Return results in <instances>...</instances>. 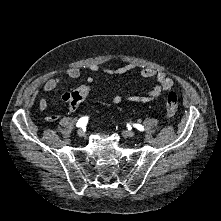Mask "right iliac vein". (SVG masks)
<instances>
[{
  "instance_id": "63e3f726",
  "label": "right iliac vein",
  "mask_w": 221,
  "mask_h": 221,
  "mask_svg": "<svg viewBox=\"0 0 221 221\" xmlns=\"http://www.w3.org/2000/svg\"><path fill=\"white\" fill-rule=\"evenodd\" d=\"M77 134H78V136L81 137V138L85 137V132H84V130H82V129H79L78 132H77Z\"/></svg>"
}]
</instances>
